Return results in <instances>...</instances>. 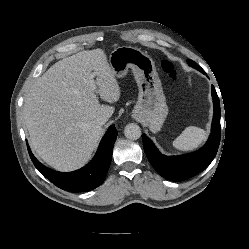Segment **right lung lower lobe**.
Returning <instances> with one entry per match:
<instances>
[{
	"instance_id": "98d812e1",
	"label": "right lung lower lobe",
	"mask_w": 249,
	"mask_h": 249,
	"mask_svg": "<svg viewBox=\"0 0 249 249\" xmlns=\"http://www.w3.org/2000/svg\"><path fill=\"white\" fill-rule=\"evenodd\" d=\"M117 130L112 125L100 142L98 150L89 164L73 172H58L42 165L32 154L29 155L35 167L57 187L69 192H85L101 185L108 172Z\"/></svg>"
}]
</instances>
